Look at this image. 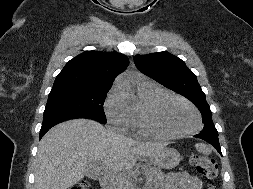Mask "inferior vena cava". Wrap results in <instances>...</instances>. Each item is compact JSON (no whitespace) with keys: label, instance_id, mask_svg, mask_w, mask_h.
Instances as JSON below:
<instances>
[{"label":"inferior vena cava","instance_id":"602c4592","mask_svg":"<svg viewBox=\"0 0 253 189\" xmlns=\"http://www.w3.org/2000/svg\"><path fill=\"white\" fill-rule=\"evenodd\" d=\"M129 181L128 180H122V179H115L113 177V180L110 184V189H123L125 185H128Z\"/></svg>","mask_w":253,"mask_h":189}]
</instances>
